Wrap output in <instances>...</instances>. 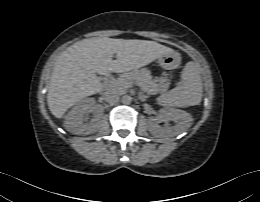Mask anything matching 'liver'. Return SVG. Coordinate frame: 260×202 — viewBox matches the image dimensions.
I'll return each instance as SVG.
<instances>
[{
    "label": "liver",
    "mask_w": 260,
    "mask_h": 202,
    "mask_svg": "<svg viewBox=\"0 0 260 202\" xmlns=\"http://www.w3.org/2000/svg\"><path fill=\"white\" fill-rule=\"evenodd\" d=\"M173 49L155 41L90 38L69 46L59 56L49 83L47 103L56 118L83 98L101 91L96 76L122 73L150 64ZM116 54L117 59L113 60Z\"/></svg>",
    "instance_id": "6515ba94"
}]
</instances>
